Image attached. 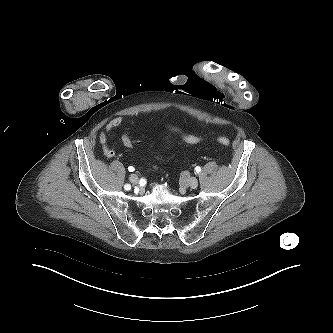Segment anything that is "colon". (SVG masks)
<instances>
[{"mask_svg":"<svg viewBox=\"0 0 333 333\" xmlns=\"http://www.w3.org/2000/svg\"><path fill=\"white\" fill-rule=\"evenodd\" d=\"M169 128L172 131L176 132L183 139V141H185L188 144H197L203 140L202 137L188 134L177 127L170 126ZM217 141L224 146H229L230 144L229 139L223 136L217 137ZM122 143L128 149L133 148L135 146V142L132 140L128 132H125L122 135Z\"/></svg>","mask_w":333,"mask_h":333,"instance_id":"1","label":"colon"}]
</instances>
